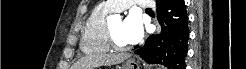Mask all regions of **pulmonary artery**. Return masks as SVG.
Instances as JSON below:
<instances>
[{"label": "pulmonary artery", "mask_w": 246, "mask_h": 69, "mask_svg": "<svg viewBox=\"0 0 246 69\" xmlns=\"http://www.w3.org/2000/svg\"><path fill=\"white\" fill-rule=\"evenodd\" d=\"M108 6L114 11H121L126 9L130 4H137L141 7L151 9L153 7V2L148 1H132V0H108L106 1Z\"/></svg>", "instance_id": "e3ab8cb5"}]
</instances>
